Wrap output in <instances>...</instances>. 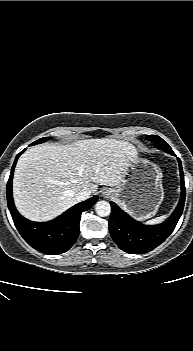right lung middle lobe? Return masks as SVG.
I'll return each mask as SVG.
<instances>
[{
	"instance_id": "dd1d6c3e",
	"label": "right lung middle lobe",
	"mask_w": 193,
	"mask_h": 351,
	"mask_svg": "<svg viewBox=\"0 0 193 351\" xmlns=\"http://www.w3.org/2000/svg\"><path fill=\"white\" fill-rule=\"evenodd\" d=\"M47 140H49L48 137H43V138H41V139H39V140L33 142L31 145H36V144H38V143H43V142H45V141H47Z\"/></svg>"
}]
</instances>
